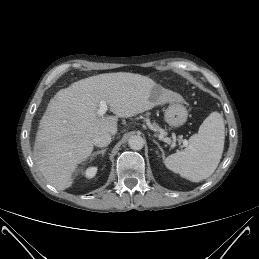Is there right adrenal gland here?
<instances>
[{
    "label": "right adrenal gland",
    "instance_id": "obj_1",
    "mask_svg": "<svg viewBox=\"0 0 259 259\" xmlns=\"http://www.w3.org/2000/svg\"><path fill=\"white\" fill-rule=\"evenodd\" d=\"M107 148H104V149H101V150H98L96 152H94L92 155H91V158L90 160L92 161L95 157H97V155L101 154L102 156L104 155V153L106 152Z\"/></svg>",
    "mask_w": 259,
    "mask_h": 259
}]
</instances>
